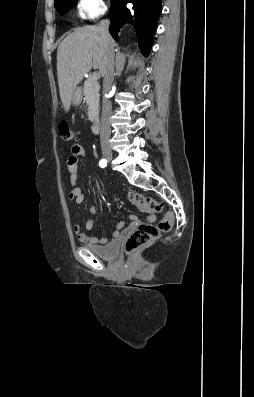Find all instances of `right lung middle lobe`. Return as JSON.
I'll return each mask as SVG.
<instances>
[{"label":"right lung middle lobe","mask_w":254,"mask_h":397,"mask_svg":"<svg viewBox=\"0 0 254 397\" xmlns=\"http://www.w3.org/2000/svg\"><path fill=\"white\" fill-rule=\"evenodd\" d=\"M78 0H56L54 7L60 14H64L69 8H72Z\"/></svg>","instance_id":"dd1d6c3e"}]
</instances>
